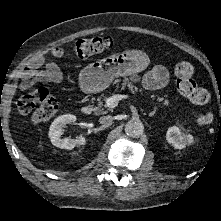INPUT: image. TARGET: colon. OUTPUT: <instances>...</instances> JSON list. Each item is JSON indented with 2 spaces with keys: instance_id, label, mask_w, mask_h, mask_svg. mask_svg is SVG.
I'll use <instances>...</instances> for the list:
<instances>
[{
  "instance_id": "5ec220e1",
  "label": "colon",
  "mask_w": 221,
  "mask_h": 221,
  "mask_svg": "<svg viewBox=\"0 0 221 221\" xmlns=\"http://www.w3.org/2000/svg\"><path fill=\"white\" fill-rule=\"evenodd\" d=\"M113 44L107 36H97L79 40L74 47V55L84 59L100 54L109 49ZM194 66L187 61H182L175 66L174 75L176 86L180 94L191 102L199 105L209 101V93L206 89L199 87L194 80ZM58 109L57 99L48 88L39 87L35 91L22 96L17 102L19 114H30L32 123H41L52 118Z\"/></svg>"
}]
</instances>
